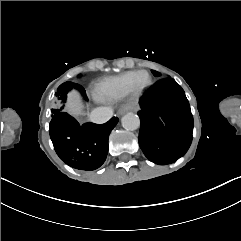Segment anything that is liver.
Wrapping results in <instances>:
<instances>
[{
    "label": "liver",
    "mask_w": 241,
    "mask_h": 241,
    "mask_svg": "<svg viewBox=\"0 0 241 241\" xmlns=\"http://www.w3.org/2000/svg\"><path fill=\"white\" fill-rule=\"evenodd\" d=\"M65 110L71 116H74V117H77L78 115L83 114L80 96L75 90H72L68 94V100H67V103L65 105Z\"/></svg>",
    "instance_id": "1"
}]
</instances>
